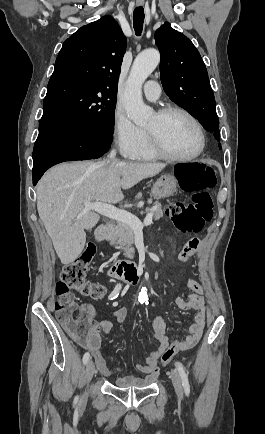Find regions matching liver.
Masks as SVG:
<instances>
[{
  "label": "liver",
  "instance_id": "6515ba94",
  "mask_svg": "<svg viewBox=\"0 0 265 434\" xmlns=\"http://www.w3.org/2000/svg\"><path fill=\"white\" fill-rule=\"evenodd\" d=\"M166 164L136 162H73L59 164L44 174L36 188L37 210L61 264H71L81 254L86 234L100 220L86 212L83 202L116 204L144 178H153Z\"/></svg>",
  "mask_w": 265,
  "mask_h": 434
}]
</instances>
